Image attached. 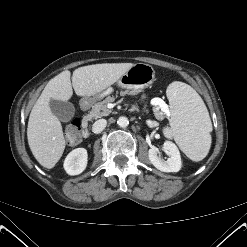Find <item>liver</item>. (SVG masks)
<instances>
[{
  "label": "liver",
  "instance_id": "obj_1",
  "mask_svg": "<svg viewBox=\"0 0 247 247\" xmlns=\"http://www.w3.org/2000/svg\"><path fill=\"white\" fill-rule=\"evenodd\" d=\"M132 66V63L87 65L73 71L72 83L68 70L49 81L31 110L27 126L28 144L40 165L53 168L65 149L62 125L50 109V100L66 102L72 97L73 89L78 96L100 93L117 82Z\"/></svg>",
  "mask_w": 247,
  "mask_h": 247
}]
</instances>
